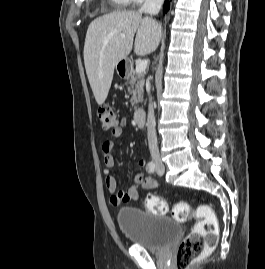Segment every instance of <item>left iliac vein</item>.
I'll return each instance as SVG.
<instances>
[{
	"mask_svg": "<svg viewBox=\"0 0 265 269\" xmlns=\"http://www.w3.org/2000/svg\"><path fill=\"white\" fill-rule=\"evenodd\" d=\"M164 171H165V168L162 161L160 159L156 160V173L159 176H162L164 174Z\"/></svg>",
	"mask_w": 265,
	"mask_h": 269,
	"instance_id": "left-iliac-vein-1",
	"label": "left iliac vein"
}]
</instances>
